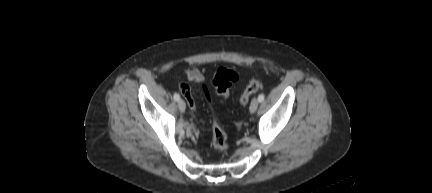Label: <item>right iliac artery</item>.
Instances as JSON below:
<instances>
[{
  "label": "right iliac artery",
  "instance_id": "82829eb1",
  "mask_svg": "<svg viewBox=\"0 0 432 193\" xmlns=\"http://www.w3.org/2000/svg\"><path fill=\"white\" fill-rule=\"evenodd\" d=\"M174 100H175V101H179V100H180V96H179L178 93H175V94H174Z\"/></svg>",
  "mask_w": 432,
  "mask_h": 193
}]
</instances>
